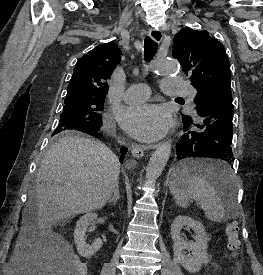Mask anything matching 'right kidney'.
<instances>
[{"instance_id":"ca27d5eb","label":"right kidney","mask_w":263,"mask_h":275,"mask_svg":"<svg viewBox=\"0 0 263 275\" xmlns=\"http://www.w3.org/2000/svg\"><path fill=\"white\" fill-rule=\"evenodd\" d=\"M97 220V214L87 213L82 216L77 224L74 231V241L77 247L78 253L85 258L93 256L102 246V240L97 238L93 244H86L85 233L89 226L94 227L95 221Z\"/></svg>"}]
</instances>
